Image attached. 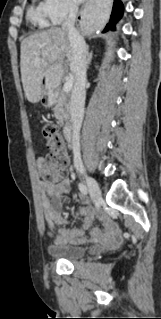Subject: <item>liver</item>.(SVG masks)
Returning a JSON list of instances; mask_svg holds the SVG:
<instances>
[{"mask_svg": "<svg viewBox=\"0 0 161 319\" xmlns=\"http://www.w3.org/2000/svg\"><path fill=\"white\" fill-rule=\"evenodd\" d=\"M64 57L72 60L68 33L51 28L25 38L21 43V79L27 100L40 101L43 95L42 77L51 65H61Z\"/></svg>", "mask_w": 161, "mask_h": 319, "instance_id": "obj_1", "label": "liver"}]
</instances>
